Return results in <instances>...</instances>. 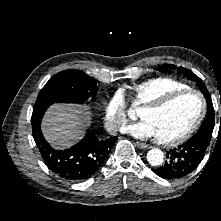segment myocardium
Instances as JSON below:
<instances>
[{"mask_svg": "<svg viewBox=\"0 0 221 221\" xmlns=\"http://www.w3.org/2000/svg\"><path fill=\"white\" fill-rule=\"evenodd\" d=\"M186 94H194L198 97L200 101V110L196 119L183 133H181L180 135L174 138L159 139L156 137L157 143L161 145H165V146H176L185 142L187 139H189L192 136V134L198 129V127L200 126L201 122L203 121L206 115L207 104H206L205 97L200 91L188 87L184 89L171 91L163 95L162 97L158 98L157 100L142 106V110L159 111L165 108L166 106H168L171 102H173L178 97L182 95H186Z\"/></svg>", "mask_w": 221, "mask_h": 221, "instance_id": "myocardium-1", "label": "myocardium"}]
</instances>
